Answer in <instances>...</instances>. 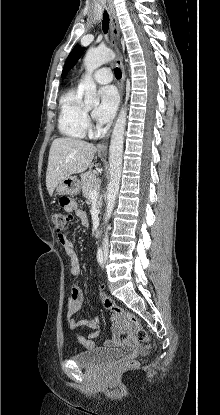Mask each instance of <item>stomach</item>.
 <instances>
[{
    "label": "stomach",
    "mask_w": 220,
    "mask_h": 415,
    "mask_svg": "<svg viewBox=\"0 0 220 415\" xmlns=\"http://www.w3.org/2000/svg\"><path fill=\"white\" fill-rule=\"evenodd\" d=\"M81 183L77 176H69L62 180L56 187L59 195L75 196L80 193Z\"/></svg>",
    "instance_id": "0dacf381"
}]
</instances>
